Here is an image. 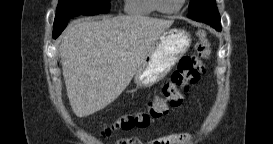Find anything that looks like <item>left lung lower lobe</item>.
<instances>
[{
	"instance_id": "0a47b994",
	"label": "left lung lower lobe",
	"mask_w": 273,
	"mask_h": 144,
	"mask_svg": "<svg viewBox=\"0 0 273 144\" xmlns=\"http://www.w3.org/2000/svg\"><path fill=\"white\" fill-rule=\"evenodd\" d=\"M198 22H204L206 24H209L213 26L216 30H220V17L218 10H209L205 13H202L200 16H198L196 19Z\"/></svg>"
}]
</instances>
